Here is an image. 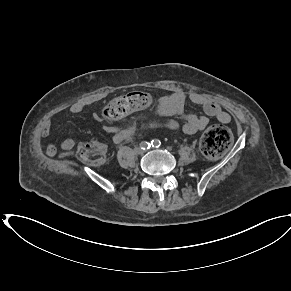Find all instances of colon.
I'll return each mask as SVG.
<instances>
[{
	"instance_id": "obj_1",
	"label": "colon",
	"mask_w": 291,
	"mask_h": 291,
	"mask_svg": "<svg viewBox=\"0 0 291 291\" xmlns=\"http://www.w3.org/2000/svg\"><path fill=\"white\" fill-rule=\"evenodd\" d=\"M150 94L135 91L119 96L109 102L103 116L107 121H117L135 111L145 110L152 105ZM232 144V135L223 125H213L203 134L200 142L201 151L209 158L222 155ZM78 154L84 162L99 166L105 163V153L102 147L95 143H84L79 147Z\"/></svg>"
}]
</instances>
